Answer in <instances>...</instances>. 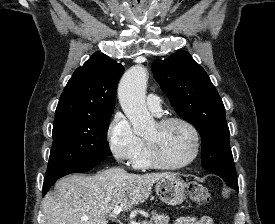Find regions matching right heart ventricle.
<instances>
[{"mask_svg": "<svg viewBox=\"0 0 275 224\" xmlns=\"http://www.w3.org/2000/svg\"><path fill=\"white\" fill-rule=\"evenodd\" d=\"M132 162H133L134 167H136V168L147 169V168L152 167V165L148 161L144 144L142 145L141 150L135 156V158L133 159Z\"/></svg>", "mask_w": 275, "mask_h": 224, "instance_id": "right-heart-ventricle-1", "label": "right heart ventricle"}]
</instances>
